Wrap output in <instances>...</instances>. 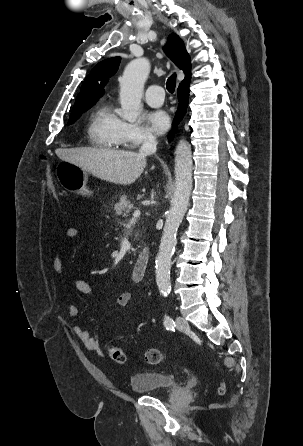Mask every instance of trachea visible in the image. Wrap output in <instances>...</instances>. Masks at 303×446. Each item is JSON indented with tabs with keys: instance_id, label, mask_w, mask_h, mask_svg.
I'll use <instances>...</instances> for the list:
<instances>
[{
	"instance_id": "obj_1",
	"label": "trachea",
	"mask_w": 303,
	"mask_h": 446,
	"mask_svg": "<svg viewBox=\"0 0 303 446\" xmlns=\"http://www.w3.org/2000/svg\"><path fill=\"white\" fill-rule=\"evenodd\" d=\"M166 87L167 90L170 93H173L176 87V74L171 75L168 79H167V83H166Z\"/></svg>"
}]
</instances>
